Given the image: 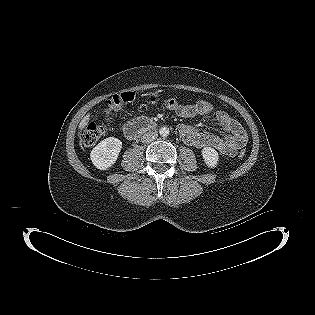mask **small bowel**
Segmentation results:
<instances>
[{"mask_svg": "<svg viewBox=\"0 0 315 315\" xmlns=\"http://www.w3.org/2000/svg\"><path fill=\"white\" fill-rule=\"evenodd\" d=\"M178 116L192 118L200 116L214 122L222 131V135L201 132L198 128L179 124L177 130L184 143L196 148L212 147L223 155L233 156L247 142V135L241 124L225 111H216L212 103L201 100L193 104H180L170 109Z\"/></svg>", "mask_w": 315, "mask_h": 315, "instance_id": "obj_1", "label": "small bowel"}]
</instances>
